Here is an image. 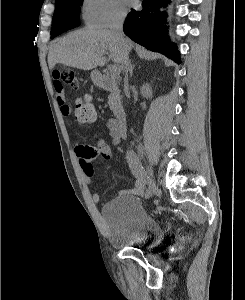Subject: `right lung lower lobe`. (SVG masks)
<instances>
[{
	"instance_id": "right-lung-lower-lobe-1",
	"label": "right lung lower lobe",
	"mask_w": 245,
	"mask_h": 300,
	"mask_svg": "<svg viewBox=\"0 0 245 300\" xmlns=\"http://www.w3.org/2000/svg\"><path fill=\"white\" fill-rule=\"evenodd\" d=\"M169 0H144L142 10H132L126 17L123 25L124 33L136 43L155 52H160L176 63H181L180 53L174 43H170L167 29L163 25L167 14L158 12V9ZM76 22H66L60 26L59 33L74 28Z\"/></svg>"
}]
</instances>
